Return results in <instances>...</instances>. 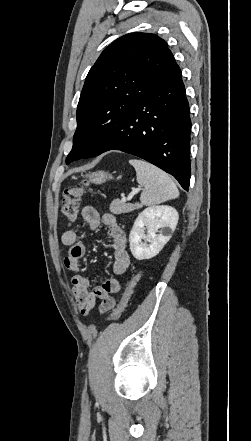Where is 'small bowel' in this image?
Wrapping results in <instances>:
<instances>
[{
  "label": "small bowel",
  "mask_w": 251,
  "mask_h": 441,
  "mask_svg": "<svg viewBox=\"0 0 251 441\" xmlns=\"http://www.w3.org/2000/svg\"><path fill=\"white\" fill-rule=\"evenodd\" d=\"M82 218L92 230L100 224L106 226L108 235L114 248L113 272L114 277L108 278L99 285L90 289L89 279L82 274L81 259L86 253V247L79 241L75 230H67L62 234L61 242L69 247L68 255L64 259V265L72 271V292L82 315H88L95 307L96 301L100 300V311L106 312L114 307L113 294L121 290V281L118 276L124 274L130 265V256L127 251V237L119 226L116 218L111 213L100 216L92 206H85L81 211Z\"/></svg>",
  "instance_id": "1"
}]
</instances>
